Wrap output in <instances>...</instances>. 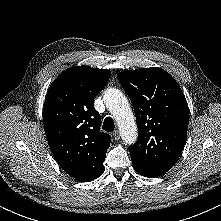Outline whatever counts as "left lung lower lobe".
<instances>
[{
  "mask_svg": "<svg viewBox=\"0 0 221 221\" xmlns=\"http://www.w3.org/2000/svg\"><path fill=\"white\" fill-rule=\"evenodd\" d=\"M132 164L139 174L146 177H158L165 174L170 169V167L144 164L135 159H132Z\"/></svg>",
  "mask_w": 221,
  "mask_h": 221,
  "instance_id": "1",
  "label": "left lung lower lobe"
}]
</instances>
